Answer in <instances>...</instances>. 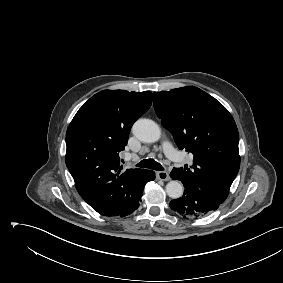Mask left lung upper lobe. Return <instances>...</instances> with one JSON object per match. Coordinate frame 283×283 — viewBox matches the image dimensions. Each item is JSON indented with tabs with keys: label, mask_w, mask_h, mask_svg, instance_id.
I'll list each match as a JSON object with an SVG mask.
<instances>
[{
	"label": "left lung upper lobe",
	"mask_w": 283,
	"mask_h": 283,
	"mask_svg": "<svg viewBox=\"0 0 283 283\" xmlns=\"http://www.w3.org/2000/svg\"><path fill=\"white\" fill-rule=\"evenodd\" d=\"M154 109L179 149L194 156L190 168L172 173L223 203L240 167L239 135L229 111L194 86L154 92Z\"/></svg>",
	"instance_id": "5c2ea615"
}]
</instances>
